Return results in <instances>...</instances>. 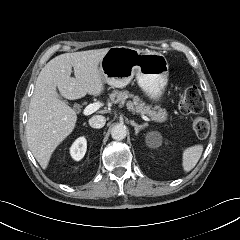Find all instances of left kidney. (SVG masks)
<instances>
[{"instance_id": "5707ae66", "label": "left kidney", "mask_w": 240, "mask_h": 240, "mask_svg": "<svg viewBox=\"0 0 240 240\" xmlns=\"http://www.w3.org/2000/svg\"><path fill=\"white\" fill-rule=\"evenodd\" d=\"M146 143L150 148H157L162 144V136L158 132H151L147 135Z\"/></svg>"}]
</instances>
